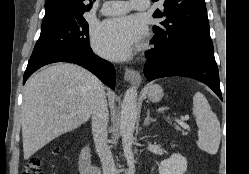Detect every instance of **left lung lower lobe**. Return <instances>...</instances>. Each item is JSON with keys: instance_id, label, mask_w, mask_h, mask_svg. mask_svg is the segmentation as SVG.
<instances>
[{"instance_id": "0a47b994", "label": "left lung lower lobe", "mask_w": 249, "mask_h": 174, "mask_svg": "<svg viewBox=\"0 0 249 174\" xmlns=\"http://www.w3.org/2000/svg\"><path fill=\"white\" fill-rule=\"evenodd\" d=\"M156 48L146 51L148 64L144 74L148 81L169 76H183L208 85L222 99L219 71L214 58L212 43H205L184 50H168L156 39Z\"/></svg>"}]
</instances>
